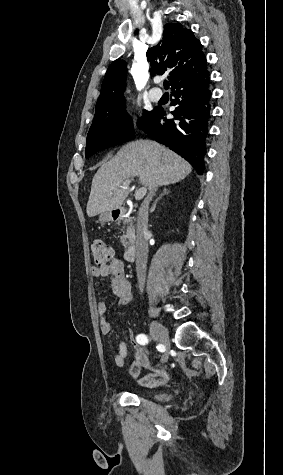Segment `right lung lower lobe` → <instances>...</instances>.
<instances>
[{
	"mask_svg": "<svg viewBox=\"0 0 283 475\" xmlns=\"http://www.w3.org/2000/svg\"><path fill=\"white\" fill-rule=\"evenodd\" d=\"M171 90L175 99L170 105H177L170 112L174 119H167V111L158 106L143 129L151 138L185 158L201 175L212 101L207 67L182 78Z\"/></svg>",
	"mask_w": 283,
	"mask_h": 475,
	"instance_id": "right-lung-lower-lobe-1",
	"label": "right lung lower lobe"
}]
</instances>
